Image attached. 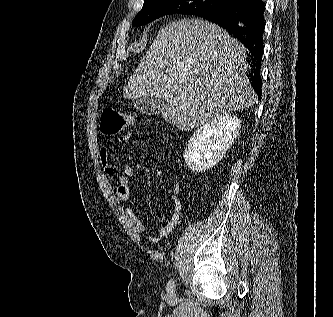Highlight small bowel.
Wrapping results in <instances>:
<instances>
[{"instance_id":"c3829d8e","label":"small bowel","mask_w":333,"mask_h":317,"mask_svg":"<svg viewBox=\"0 0 333 317\" xmlns=\"http://www.w3.org/2000/svg\"><path fill=\"white\" fill-rule=\"evenodd\" d=\"M131 139L130 134H123L119 136L121 142H126ZM100 161L103 170L108 175H116L118 172L117 166L110 159L108 151L105 147L100 149ZM134 175V169L129 163L124 164L122 168V175L118 178L116 194L118 198L125 203V213L135 230L142 234L148 241L152 243L159 242L162 238L168 235L178 224L181 202L178 197L179 184L176 183L169 191L171 199V217L169 221L160 228L157 232L150 231L145 223L137 216L135 210L130 204L131 191L129 187V181Z\"/></svg>"}]
</instances>
